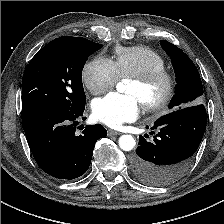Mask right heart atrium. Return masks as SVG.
Here are the masks:
<instances>
[{"label":"right heart atrium","instance_id":"1","mask_svg":"<svg viewBox=\"0 0 224 224\" xmlns=\"http://www.w3.org/2000/svg\"><path fill=\"white\" fill-rule=\"evenodd\" d=\"M119 77L114 62L103 56L95 57L82 70L83 84L93 95L110 90L117 83Z\"/></svg>","mask_w":224,"mask_h":224}]
</instances>
